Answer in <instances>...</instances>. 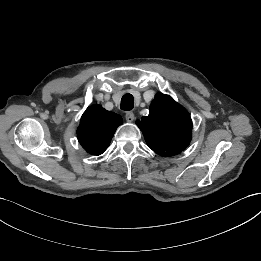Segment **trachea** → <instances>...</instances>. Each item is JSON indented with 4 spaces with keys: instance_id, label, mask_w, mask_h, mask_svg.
Segmentation results:
<instances>
[{
    "instance_id": "trachea-1",
    "label": "trachea",
    "mask_w": 261,
    "mask_h": 261,
    "mask_svg": "<svg viewBox=\"0 0 261 261\" xmlns=\"http://www.w3.org/2000/svg\"><path fill=\"white\" fill-rule=\"evenodd\" d=\"M134 98L131 94H125L121 99L120 108L125 111L133 109Z\"/></svg>"
}]
</instances>
